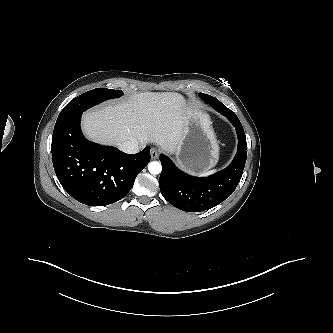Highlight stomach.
Here are the masks:
<instances>
[{
  "mask_svg": "<svg viewBox=\"0 0 333 333\" xmlns=\"http://www.w3.org/2000/svg\"><path fill=\"white\" fill-rule=\"evenodd\" d=\"M175 155L179 165L192 173L212 169L219 160V145L207 113L186 106L185 124Z\"/></svg>",
  "mask_w": 333,
  "mask_h": 333,
  "instance_id": "stomach-1",
  "label": "stomach"
}]
</instances>
